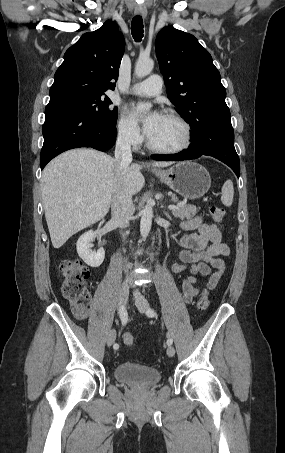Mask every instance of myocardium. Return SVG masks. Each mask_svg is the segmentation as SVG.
Listing matches in <instances>:
<instances>
[{
  "mask_svg": "<svg viewBox=\"0 0 285 453\" xmlns=\"http://www.w3.org/2000/svg\"><path fill=\"white\" fill-rule=\"evenodd\" d=\"M163 115L178 121L182 125V127L184 129V133H185L184 142L180 146L175 147V148H164V147H159V146H156L155 144H153L148 136L147 142H146L147 147L153 152L160 153V154H167V155L179 154V153L186 151L191 146L192 141H193V132H192L191 125L183 116H181L179 113H177L173 110H167L164 112Z\"/></svg>",
  "mask_w": 285,
  "mask_h": 453,
  "instance_id": "1",
  "label": "myocardium"
}]
</instances>
